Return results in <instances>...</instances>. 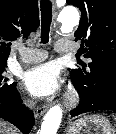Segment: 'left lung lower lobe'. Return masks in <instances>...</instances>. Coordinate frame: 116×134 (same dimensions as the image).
<instances>
[{"label": "left lung lower lobe", "instance_id": "obj_1", "mask_svg": "<svg viewBox=\"0 0 116 134\" xmlns=\"http://www.w3.org/2000/svg\"><path fill=\"white\" fill-rule=\"evenodd\" d=\"M72 77V83L79 93L80 101L78 106L71 111V117L87 112L95 111H116V79H109L108 89L96 93L93 96L84 94L78 81Z\"/></svg>", "mask_w": 116, "mask_h": 134}]
</instances>
